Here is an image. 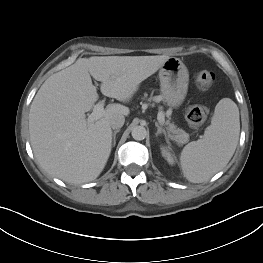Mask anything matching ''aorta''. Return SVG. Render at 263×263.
I'll return each mask as SVG.
<instances>
[{
    "mask_svg": "<svg viewBox=\"0 0 263 263\" xmlns=\"http://www.w3.org/2000/svg\"><path fill=\"white\" fill-rule=\"evenodd\" d=\"M131 135L137 141L144 140L147 136V131L143 126H136L132 129Z\"/></svg>",
    "mask_w": 263,
    "mask_h": 263,
    "instance_id": "762f6f07",
    "label": "aorta"
}]
</instances>
